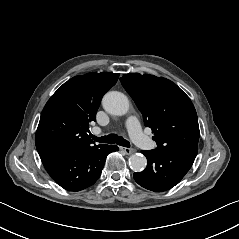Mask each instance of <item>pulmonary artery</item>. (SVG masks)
<instances>
[{"label": "pulmonary artery", "mask_w": 239, "mask_h": 239, "mask_svg": "<svg viewBox=\"0 0 239 239\" xmlns=\"http://www.w3.org/2000/svg\"><path fill=\"white\" fill-rule=\"evenodd\" d=\"M127 129H128L129 137L137 145H141L144 139H148V137L143 134L141 126L135 117L128 118ZM91 132L95 135H98L100 133V129L97 127H94L91 129Z\"/></svg>", "instance_id": "obj_1"}]
</instances>
